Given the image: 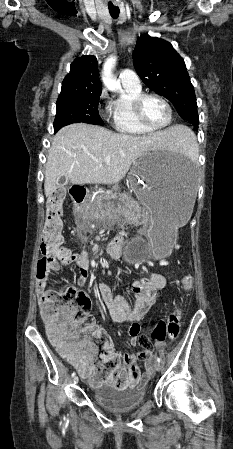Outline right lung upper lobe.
I'll return each mask as SVG.
<instances>
[{
    "mask_svg": "<svg viewBox=\"0 0 233 449\" xmlns=\"http://www.w3.org/2000/svg\"><path fill=\"white\" fill-rule=\"evenodd\" d=\"M101 91L97 59L95 56L84 55L71 64L70 73L62 82L59 96L101 93Z\"/></svg>",
    "mask_w": 233,
    "mask_h": 449,
    "instance_id": "right-lung-upper-lobe-1",
    "label": "right lung upper lobe"
}]
</instances>
